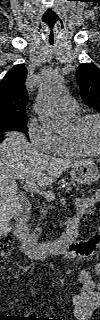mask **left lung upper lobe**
<instances>
[{"label": "left lung upper lobe", "instance_id": "1", "mask_svg": "<svg viewBox=\"0 0 100 320\" xmlns=\"http://www.w3.org/2000/svg\"><path fill=\"white\" fill-rule=\"evenodd\" d=\"M83 101L100 112V69L93 63L81 64L76 72Z\"/></svg>", "mask_w": 100, "mask_h": 320}]
</instances>
